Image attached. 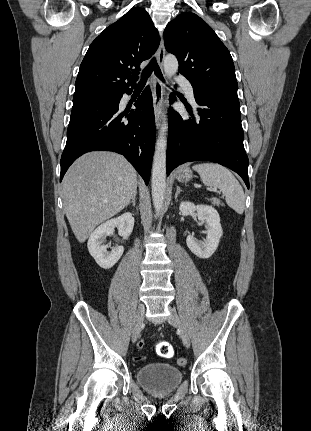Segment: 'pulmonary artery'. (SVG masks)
I'll use <instances>...</instances> for the list:
<instances>
[{
    "instance_id": "pulmonary-artery-1",
    "label": "pulmonary artery",
    "mask_w": 311,
    "mask_h": 431,
    "mask_svg": "<svg viewBox=\"0 0 311 431\" xmlns=\"http://www.w3.org/2000/svg\"><path fill=\"white\" fill-rule=\"evenodd\" d=\"M181 87L183 88L186 96L189 98V100L195 104V99H194V88L191 85V83L189 81H181L180 82Z\"/></svg>"
}]
</instances>
